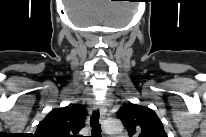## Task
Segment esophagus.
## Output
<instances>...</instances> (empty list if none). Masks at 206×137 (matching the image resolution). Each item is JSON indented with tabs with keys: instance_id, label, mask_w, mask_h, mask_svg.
Returning <instances> with one entry per match:
<instances>
[{
	"instance_id": "esophagus-1",
	"label": "esophagus",
	"mask_w": 206,
	"mask_h": 137,
	"mask_svg": "<svg viewBox=\"0 0 206 137\" xmlns=\"http://www.w3.org/2000/svg\"><path fill=\"white\" fill-rule=\"evenodd\" d=\"M97 107H99L100 110V122L101 124H104V120L106 118V108L103 105Z\"/></svg>"
}]
</instances>
